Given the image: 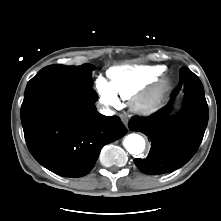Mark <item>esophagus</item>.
I'll return each instance as SVG.
<instances>
[{
    "label": "esophagus",
    "mask_w": 221,
    "mask_h": 221,
    "mask_svg": "<svg viewBox=\"0 0 221 221\" xmlns=\"http://www.w3.org/2000/svg\"><path fill=\"white\" fill-rule=\"evenodd\" d=\"M121 120L126 126H128V118L126 116L121 115Z\"/></svg>",
    "instance_id": "1"
}]
</instances>
